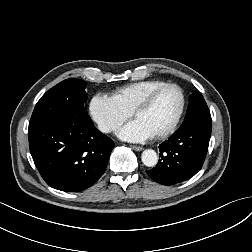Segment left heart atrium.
Segmentation results:
<instances>
[{
    "label": "left heart atrium",
    "mask_w": 252,
    "mask_h": 252,
    "mask_svg": "<svg viewBox=\"0 0 252 252\" xmlns=\"http://www.w3.org/2000/svg\"><path fill=\"white\" fill-rule=\"evenodd\" d=\"M121 139L130 142H142L154 137L153 132L140 120L135 119L118 132Z\"/></svg>",
    "instance_id": "39dd6f15"
}]
</instances>
